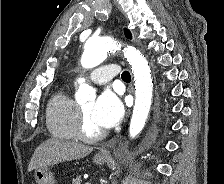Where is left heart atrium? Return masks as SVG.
Here are the masks:
<instances>
[{
	"label": "left heart atrium",
	"mask_w": 224,
	"mask_h": 184,
	"mask_svg": "<svg viewBox=\"0 0 224 184\" xmlns=\"http://www.w3.org/2000/svg\"><path fill=\"white\" fill-rule=\"evenodd\" d=\"M123 116V106L116 95L103 92L96 100L91 111L92 120L103 129L116 126Z\"/></svg>",
	"instance_id": "obj_1"
}]
</instances>
